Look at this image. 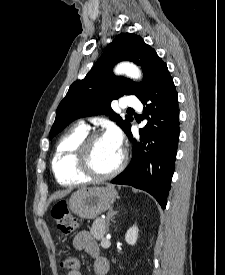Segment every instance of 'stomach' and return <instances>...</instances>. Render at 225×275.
<instances>
[{
	"mask_svg": "<svg viewBox=\"0 0 225 275\" xmlns=\"http://www.w3.org/2000/svg\"><path fill=\"white\" fill-rule=\"evenodd\" d=\"M117 197V192L112 187L95 186L72 194L67 206L82 219H94L110 209Z\"/></svg>",
	"mask_w": 225,
	"mask_h": 275,
	"instance_id": "stomach-1",
	"label": "stomach"
}]
</instances>
